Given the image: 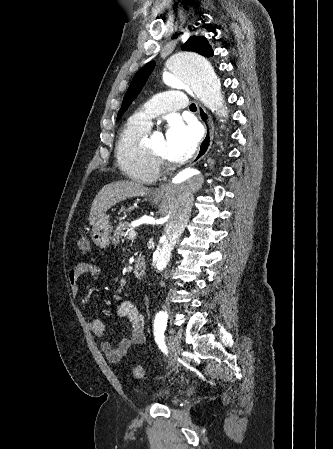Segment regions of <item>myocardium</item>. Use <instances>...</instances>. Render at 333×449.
<instances>
[{
    "label": "myocardium",
    "mask_w": 333,
    "mask_h": 449,
    "mask_svg": "<svg viewBox=\"0 0 333 449\" xmlns=\"http://www.w3.org/2000/svg\"><path fill=\"white\" fill-rule=\"evenodd\" d=\"M150 157L153 161L158 165V167L164 166L167 164V158L156 154L153 150L146 147Z\"/></svg>",
    "instance_id": "f54148a6"
}]
</instances>
